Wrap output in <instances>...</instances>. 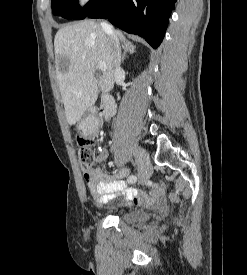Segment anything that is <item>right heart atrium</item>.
Segmentation results:
<instances>
[{"instance_id":"d8ad5b80","label":"right heart atrium","mask_w":247,"mask_h":275,"mask_svg":"<svg viewBox=\"0 0 247 275\" xmlns=\"http://www.w3.org/2000/svg\"><path fill=\"white\" fill-rule=\"evenodd\" d=\"M90 2V0H78V4L80 6H85Z\"/></svg>"}]
</instances>
